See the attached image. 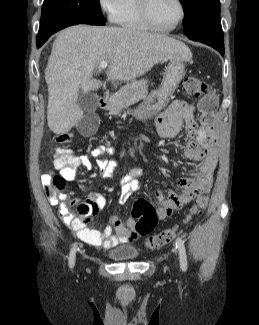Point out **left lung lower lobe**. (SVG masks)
I'll list each match as a JSON object with an SVG mask.
<instances>
[{"label": "left lung lower lobe", "mask_w": 259, "mask_h": 325, "mask_svg": "<svg viewBox=\"0 0 259 325\" xmlns=\"http://www.w3.org/2000/svg\"><path fill=\"white\" fill-rule=\"evenodd\" d=\"M191 40L207 44L219 51L222 55L224 54V37L221 27L209 29L200 35L193 37Z\"/></svg>", "instance_id": "left-lung-lower-lobe-1"}]
</instances>
